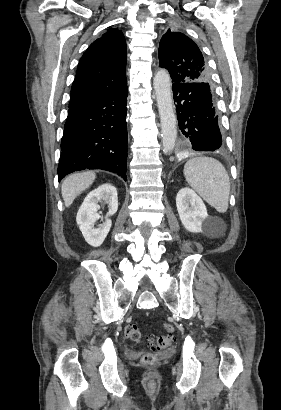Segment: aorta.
<instances>
[{"label": "aorta", "mask_w": 281, "mask_h": 410, "mask_svg": "<svg viewBox=\"0 0 281 410\" xmlns=\"http://www.w3.org/2000/svg\"><path fill=\"white\" fill-rule=\"evenodd\" d=\"M153 83L161 122L162 147L165 153H170L177 139V120L168 72L164 69L157 71Z\"/></svg>", "instance_id": "762f6f07"}]
</instances>
